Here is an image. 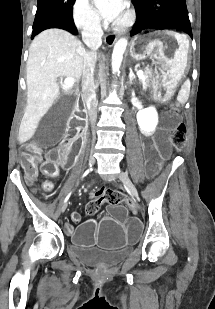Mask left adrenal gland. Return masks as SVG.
Returning a JSON list of instances; mask_svg holds the SVG:
<instances>
[{
	"label": "left adrenal gland",
	"mask_w": 215,
	"mask_h": 309,
	"mask_svg": "<svg viewBox=\"0 0 215 309\" xmlns=\"http://www.w3.org/2000/svg\"><path fill=\"white\" fill-rule=\"evenodd\" d=\"M129 70H130V72H129V80H128V82H130V84H131V82H133V80H136V74H134L132 68H129Z\"/></svg>",
	"instance_id": "obj_1"
}]
</instances>
